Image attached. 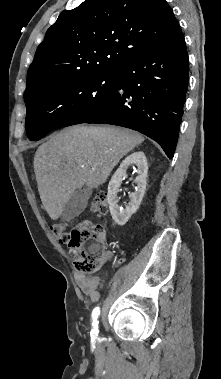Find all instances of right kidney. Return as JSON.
<instances>
[{
	"label": "right kidney",
	"instance_id": "ca27d5eb",
	"mask_svg": "<svg viewBox=\"0 0 221 379\" xmlns=\"http://www.w3.org/2000/svg\"><path fill=\"white\" fill-rule=\"evenodd\" d=\"M137 167L138 176L135 178L136 190L129 194L130 202L125 208L118 205V188L126 176L130 166ZM148 164L142 151L133 152L127 156L116 170L108 184L107 200L114 222L120 226L125 225L130 217L138 210L147 185Z\"/></svg>",
	"mask_w": 221,
	"mask_h": 379
}]
</instances>
